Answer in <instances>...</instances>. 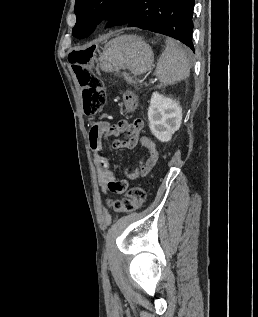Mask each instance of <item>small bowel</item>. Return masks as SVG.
<instances>
[{
    "label": "small bowel",
    "instance_id": "obj_1",
    "mask_svg": "<svg viewBox=\"0 0 258 317\" xmlns=\"http://www.w3.org/2000/svg\"><path fill=\"white\" fill-rule=\"evenodd\" d=\"M143 127V120L137 118L133 122L123 119L117 124L101 122L90 129L89 143L93 152L97 182L104 193H122L128 186L129 180L141 179L157 164L159 160L157 145L150 136L142 134ZM121 135L124 137L120 138ZM111 136L116 137L112 142L114 149H132L139 145L145 150L140 163L132 171H127L123 178L114 174L108 158L102 152L104 142Z\"/></svg>",
    "mask_w": 258,
    "mask_h": 317
}]
</instances>
